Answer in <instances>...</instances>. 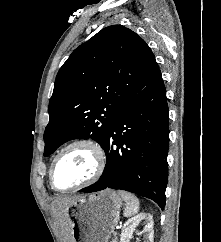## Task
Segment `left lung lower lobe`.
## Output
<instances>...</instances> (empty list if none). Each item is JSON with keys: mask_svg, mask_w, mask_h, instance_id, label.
<instances>
[{"mask_svg": "<svg viewBox=\"0 0 221 242\" xmlns=\"http://www.w3.org/2000/svg\"><path fill=\"white\" fill-rule=\"evenodd\" d=\"M168 106L160 70L116 115L102 148L100 179L80 192L121 189L155 201L164 209L168 180Z\"/></svg>", "mask_w": 221, "mask_h": 242, "instance_id": "1", "label": "left lung lower lobe"}]
</instances>
